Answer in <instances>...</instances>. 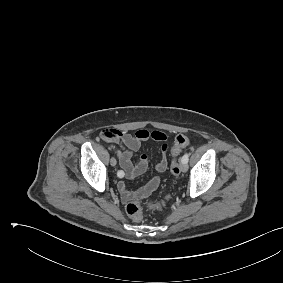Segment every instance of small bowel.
<instances>
[{"label":"small bowel","mask_w":283,"mask_h":283,"mask_svg":"<svg viewBox=\"0 0 283 283\" xmlns=\"http://www.w3.org/2000/svg\"><path fill=\"white\" fill-rule=\"evenodd\" d=\"M100 137L107 142H117L120 144L122 150L116 149L117 157L121 168L124 170V176L128 179H133L142 174L148 166V158L146 155H141L136 163L132 162V155L138 151L143 142L147 140H155L161 143L162 157L156 165L158 174L166 171L168 160L166 152L168 145L166 143L167 136L160 131H148L140 129L134 134L125 131L107 128L101 131ZM160 183V176L155 175L146 185L142 186L136 191H130L124 181L119 182L118 189L121 193L123 201L131 199L145 198L149 196Z\"/></svg>","instance_id":"c3829d8e"}]
</instances>
